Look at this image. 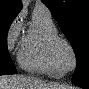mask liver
Masks as SVG:
<instances>
[{"label":"liver","instance_id":"6515ba94","mask_svg":"<svg viewBox=\"0 0 89 89\" xmlns=\"http://www.w3.org/2000/svg\"><path fill=\"white\" fill-rule=\"evenodd\" d=\"M57 85H47L33 77L2 76L0 78L1 89H59Z\"/></svg>","mask_w":89,"mask_h":89}]
</instances>
